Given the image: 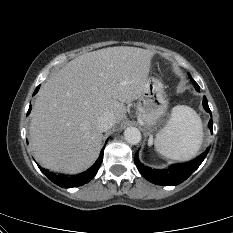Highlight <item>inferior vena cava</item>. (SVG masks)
<instances>
[{"instance_id": "inferior-vena-cava-1", "label": "inferior vena cava", "mask_w": 233, "mask_h": 233, "mask_svg": "<svg viewBox=\"0 0 233 233\" xmlns=\"http://www.w3.org/2000/svg\"><path fill=\"white\" fill-rule=\"evenodd\" d=\"M115 123V116L109 112H106L99 117L97 126L100 131L105 132L114 126Z\"/></svg>"}]
</instances>
